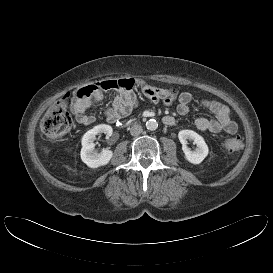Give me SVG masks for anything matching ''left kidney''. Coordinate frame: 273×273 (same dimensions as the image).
Here are the masks:
<instances>
[{
  "instance_id": "left-kidney-1",
  "label": "left kidney",
  "mask_w": 273,
  "mask_h": 273,
  "mask_svg": "<svg viewBox=\"0 0 273 273\" xmlns=\"http://www.w3.org/2000/svg\"><path fill=\"white\" fill-rule=\"evenodd\" d=\"M178 138L180 143L182 144V150L185 154V158L190 163L200 164L208 155V146L204 138L198 133L192 130H181L178 133ZM188 139L193 140L194 144H196L197 148L195 150L192 151L187 146Z\"/></svg>"
}]
</instances>
